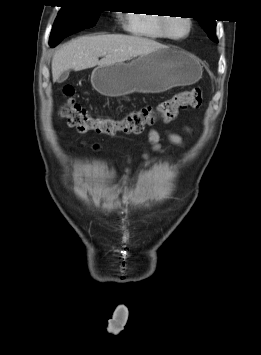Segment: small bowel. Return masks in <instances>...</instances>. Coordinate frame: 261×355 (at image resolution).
Returning a JSON list of instances; mask_svg holds the SVG:
<instances>
[{
	"mask_svg": "<svg viewBox=\"0 0 261 355\" xmlns=\"http://www.w3.org/2000/svg\"><path fill=\"white\" fill-rule=\"evenodd\" d=\"M183 132L189 133L190 129L188 127H183ZM165 135H166L167 139L172 144L177 145V146L184 145L183 136L180 133L172 131V130H167L165 132ZM147 139H148V143H149L152 150H154L156 152L161 151V142H160L161 141V134L159 131H157L156 129H150L147 134ZM93 148L97 149L98 145H93ZM149 157H150V155L147 151H145L142 154V158L144 159V161L146 163L148 162ZM127 162L129 165L126 168L125 173L121 176L119 185L111 188L109 191H121L123 189V185L127 181L129 174L131 173L130 164L132 162V158L130 156H128Z\"/></svg>",
	"mask_w": 261,
	"mask_h": 355,
	"instance_id": "c3829d8e",
	"label": "small bowel"
}]
</instances>
